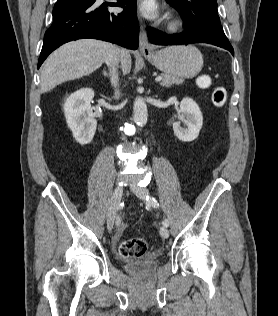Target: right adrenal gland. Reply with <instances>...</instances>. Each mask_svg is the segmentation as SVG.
I'll return each instance as SVG.
<instances>
[{
	"label": "right adrenal gland",
	"mask_w": 278,
	"mask_h": 316,
	"mask_svg": "<svg viewBox=\"0 0 278 316\" xmlns=\"http://www.w3.org/2000/svg\"><path fill=\"white\" fill-rule=\"evenodd\" d=\"M102 73H103V75H104L105 77H108V73H107V71H106L105 69L102 71Z\"/></svg>",
	"instance_id": "right-adrenal-gland-1"
}]
</instances>
